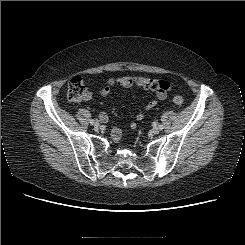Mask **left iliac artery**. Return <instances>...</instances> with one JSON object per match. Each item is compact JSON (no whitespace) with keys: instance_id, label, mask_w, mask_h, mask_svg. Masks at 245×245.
I'll return each mask as SVG.
<instances>
[{"instance_id":"44dca946","label":"left iliac artery","mask_w":245,"mask_h":245,"mask_svg":"<svg viewBox=\"0 0 245 245\" xmlns=\"http://www.w3.org/2000/svg\"><path fill=\"white\" fill-rule=\"evenodd\" d=\"M155 125H156V123H155ZM159 128L162 130L164 127H163V125H159Z\"/></svg>"}]
</instances>
